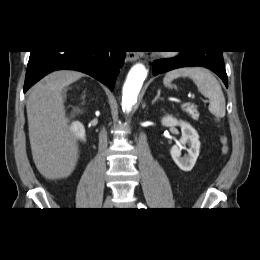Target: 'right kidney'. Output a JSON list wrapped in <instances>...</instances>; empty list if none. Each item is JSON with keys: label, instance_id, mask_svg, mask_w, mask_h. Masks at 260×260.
<instances>
[{"label": "right kidney", "instance_id": "1", "mask_svg": "<svg viewBox=\"0 0 260 260\" xmlns=\"http://www.w3.org/2000/svg\"><path fill=\"white\" fill-rule=\"evenodd\" d=\"M71 133L78 139L85 141V129L82 123L75 121L70 126Z\"/></svg>", "mask_w": 260, "mask_h": 260}]
</instances>
